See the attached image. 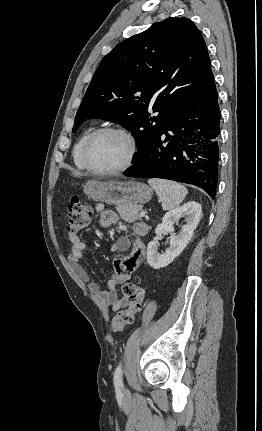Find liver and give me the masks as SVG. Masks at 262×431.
Masks as SVG:
<instances>
[{
    "instance_id": "1",
    "label": "liver",
    "mask_w": 262,
    "mask_h": 431,
    "mask_svg": "<svg viewBox=\"0 0 262 431\" xmlns=\"http://www.w3.org/2000/svg\"><path fill=\"white\" fill-rule=\"evenodd\" d=\"M74 175H81V174H78V173H74Z\"/></svg>"
}]
</instances>
